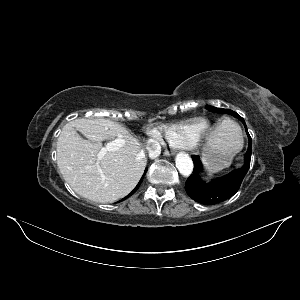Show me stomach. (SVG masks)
Listing matches in <instances>:
<instances>
[{"label": "stomach", "instance_id": "0dacf381", "mask_svg": "<svg viewBox=\"0 0 300 300\" xmlns=\"http://www.w3.org/2000/svg\"><path fill=\"white\" fill-rule=\"evenodd\" d=\"M227 130L232 136V140L226 144L219 143L213 147H208L203 154V161L206 167L212 171H219L227 167L231 163L233 156L242 147V139L233 136L230 129L227 128Z\"/></svg>", "mask_w": 300, "mask_h": 300}]
</instances>
